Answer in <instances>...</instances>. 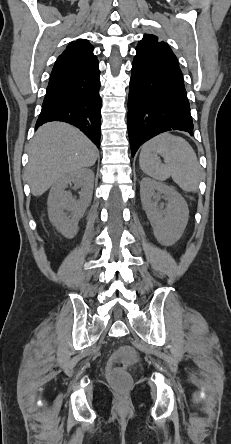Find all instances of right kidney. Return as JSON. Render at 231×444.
<instances>
[{"mask_svg": "<svg viewBox=\"0 0 231 444\" xmlns=\"http://www.w3.org/2000/svg\"><path fill=\"white\" fill-rule=\"evenodd\" d=\"M71 183L81 187L79 200L66 191ZM93 184V171L84 168L64 175L52 186L48 196L49 219L65 237L73 238L77 234L78 222L92 199Z\"/></svg>", "mask_w": 231, "mask_h": 444, "instance_id": "ca27d5eb", "label": "right kidney"}]
</instances>
